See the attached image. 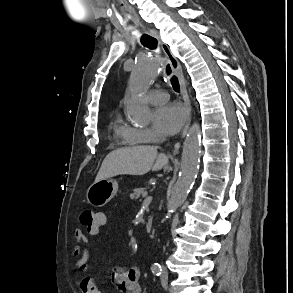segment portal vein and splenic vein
<instances>
[{
    "label": "portal vein and splenic vein",
    "mask_w": 293,
    "mask_h": 293,
    "mask_svg": "<svg viewBox=\"0 0 293 293\" xmlns=\"http://www.w3.org/2000/svg\"><path fill=\"white\" fill-rule=\"evenodd\" d=\"M147 195H148V193H147V192H144L143 195H142V197H143V198H146Z\"/></svg>",
    "instance_id": "portal-vein-and-splenic-vein-1"
}]
</instances>
